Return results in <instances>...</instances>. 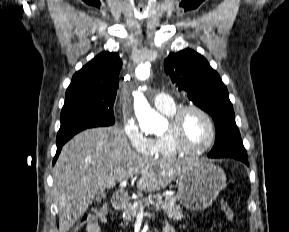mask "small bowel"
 I'll use <instances>...</instances> for the list:
<instances>
[{"label":"small bowel","mask_w":289,"mask_h":232,"mask_svg":"<svg viewBox=\"0 0 289 232\" xmlns=\"http://www.w3.org/2000/svg\"><path fill=\"white\" fill-rule=\"evenodd\" d=\"M86 232H101V226L98 223H90L86 226ZM162 232H176L174 228L166 225L162 228Z\"/></svg>","instance_id":"c3829d8e"}]
</instances>
